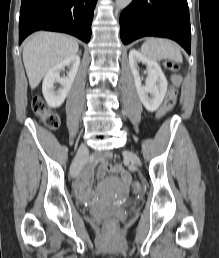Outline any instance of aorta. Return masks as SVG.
I'll return each mask as SVG.
<instances>
[{
  "instance_id": "1",
  "label": "aorta",
  "mask_w": 219,
  "mask_h": 258,
  "mask_svg": "<svg viewBox=\"0 0 219 258\" xmlns=\"http://www.w3.org/2000/svg\"><path fill=\"white\" fill-rule=\"evenodd\" d=\"M132 2V0H116V6L119 9H124L125 7H127L130 3Z\"/></svg>"
}]
</instances>
